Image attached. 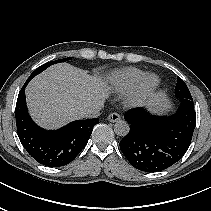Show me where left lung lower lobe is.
Returning <instances> with one entry per match:
<instances>
[{
    "label": "left lung lower lobe",
    "instance_id": "left-lung-lower-lobe-1",
    "mask_svg": "<svg viewBox=\"0 0 211 211\" xmlns=\"http://www.w3.org/2000/svg\"><path fill=\"white\" fill-rule=\"evenodd\" d=\"M124 118L130 130L120 141L121 151L133 167L144 172L162 171L179 161L190 146L196 125L191 102H181L171 116H156L138 108Z\"/></svg>",
    "mask_w": 211,
    "mask_h": 211
}]
</instances>
